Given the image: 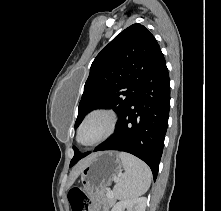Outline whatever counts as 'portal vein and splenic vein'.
I'll list each match as a JSON object with an SVG mask.
<instances>
[{
    "instance_id": "portal-vein-and-splenic-vein-1",
    "label": "portal vein and splenic vein",
    "mask_w": 221,
    "mask_h": 211,
    "mask_svg": "<svg viewBox=\"0 0 221 211\" xmlns=\"http://www.w3.org/2000/svg\"><path fill=\"white\" fill-rule=\"evenodd\" d=\"M115 181H118V178H116ZM107 197L108 198L114 197V194H113V192L110 189L107 190Z\"/></svg>"
}]
</instances>
